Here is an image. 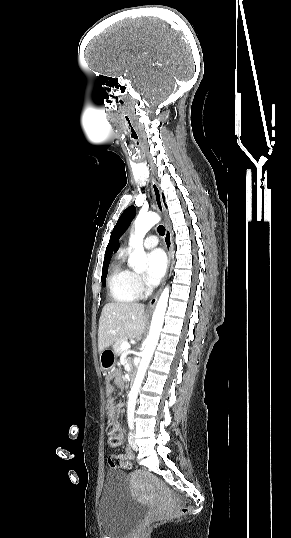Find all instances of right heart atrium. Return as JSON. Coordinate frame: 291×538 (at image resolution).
<instances>
[{"mask_svg": "<svg viewBox=\"0 0 291 538\" xmlns=\"http://www.w3.org/2000/svg\"><path fill=\"white\" fill-rule=\"evenodd\" d=\"M136 281H137V285H138V287H139L140 289L143 288V283H142L141 279H140L138 276H136Z\"/></svg>", "mask_w": 291, "mask_h": 538, "instance_id": "d8ad5b80", "label": "right heart atrium"}]
</instances>
